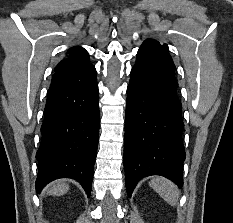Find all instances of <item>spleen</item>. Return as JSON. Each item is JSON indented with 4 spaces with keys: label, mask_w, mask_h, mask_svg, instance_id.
Segmentation results:
<instances>
[{
    "label": "spleen",
    "mask_w": 233,
    "mask_h": 223,
    "mask_svg": "<svg viewBox=\"0 0 233 223\" xmlns=\"http://www.w3.org/2000/svg\"><path fill=\"white\" fill-rule=\"evenodd\" d=\"M149 185L170 205L177 203L180 191L177 189V185L172 183L170 179L156 175V177H152L151 181H149Z\"/></svg>",
    "instance_id": "3e777b00"
}]
</instances>
